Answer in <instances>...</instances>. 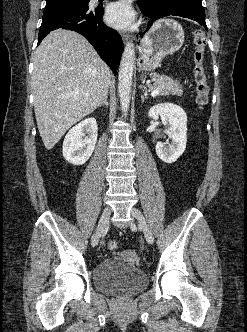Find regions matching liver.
Returning a JSON list of instances; mask_svg holds the SVG:
<instances>
[{
  "mask_svg": "<svg viewBox=\"0 0 247 332\" xmlns=\"http://www.w3.org/2000/svg\"><path fill=\"white\" fill-rule=\"evenodd\" d=\"M110 70L76 32L56 30L34 53V111L44 146L51 150L66 131L92 113L108 94Z\"/></svg>",
  "mask_w": 247,
  "mask_h": 332,
  "instance_id": "obj_1",
  "label": "liver"
}]
</instances>
